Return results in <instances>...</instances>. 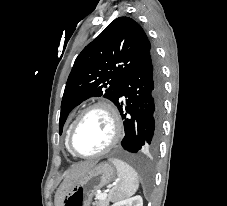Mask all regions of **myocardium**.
<instances>
[{
	"mask_svg": "<svg viewBox=\"0 0 227 206\" xmlns=\"http://www.w3.org/2000/svg\"><path fill=\"white\" fill-rule=\"evenodd\" d=\"M95 109H102L109 115L112 122V127H113L112 138L110 142L106 145V147H104L100 151L93 154H80L73 147V137L83 117L87 113ZM122 133H123L122 120L116 107L107 100H98L91 103L87 107H85L74 120L67 136V149L72 155L78 158H85V159L95 158V157L104 155L108 153L111 149H113L120 141L122 137Z\"/></svg>",
	"mask_w": 227,
	"mask_h": 206,
	"instance_id": "obj_1",
	"label": "myocardium"
}]
</instances>
